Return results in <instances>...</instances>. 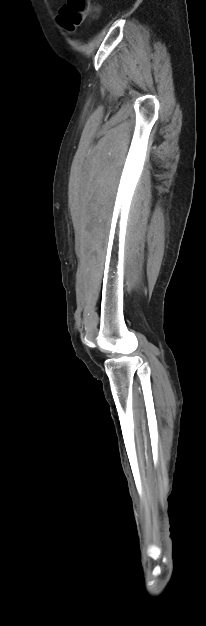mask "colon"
<instances>
[{
  "label": "colon",
  "mask_w": 206,
  "mask_h": 626,
  "mask_svg": "<svg viewBox=\"0 0 206 626\" xmlns=\"http://www.w3.org/2000/svg\"><path fill=\"white\" fill-rule=\"evenodd\" d=\"M92 9L91 0H67L60 8L59 21L67 30L72 31L80 26Z\"/></svg>",
  "instance_id": "5ec220e1"
}]
</instances>
